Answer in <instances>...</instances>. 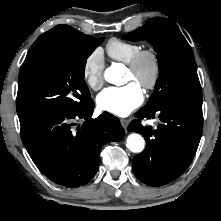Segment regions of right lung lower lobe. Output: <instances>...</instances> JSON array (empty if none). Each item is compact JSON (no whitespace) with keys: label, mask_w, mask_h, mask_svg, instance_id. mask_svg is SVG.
<instances>
[{"label":"right lung lower lobe","mask_w":221,"mask_h":221,"mask_svg":"<svg viewBox=\"0 0 221 221\" xmlns=\"http://www.w3.org/2000/svg\"><path fill=\"white\" fill-rule=\"evenodd\" d=\"M94 102L78 111L34 116L21 122V139L33 162L51 181L66 186L87 184L97 173L100 150L120 141L124 129L108 112L92 119ZM82 120L83 124L76 122Z\"/></svg>","instance_id":"98d812e1"}]
</instances>
